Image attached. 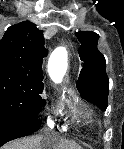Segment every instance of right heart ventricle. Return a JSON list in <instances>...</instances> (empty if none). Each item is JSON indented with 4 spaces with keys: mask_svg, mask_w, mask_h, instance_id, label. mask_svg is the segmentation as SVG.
I'll list each match as a JSON object with an SVG mask.
<instances>
[{
    "mask_svg": "<svg viewBox=\"0 0 124 149\" xmlns=\"http://www.w3.org/2000/svg\"><path fill=\"white\" fill-rule=\"evenodd\" d=\"M90 123H91V125H92V126H95V124L93 123V121H92V120H90Z\"/></svg>",
    "mask_w": 124,
    "mask_h": 149,
    "instance_id": "right-heart-ventricle-1",
    "label": "right heart ventricle"
}]
</instances>
